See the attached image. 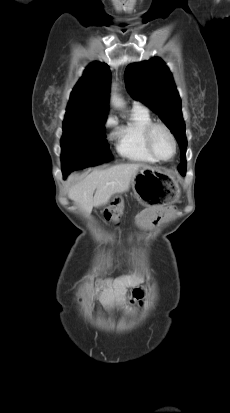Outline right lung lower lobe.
I'll return each instance as SVG.
<instances>
[{
	"mask_svg": "<svg viewBox=\"0 0 230 413\" xmlns=\"http://www.w3.org/2000/svg\"><path fill=\"white\" fill-rule=\"evenodd\" d=\"M63 175H64V177H66L67 174H64V173H63Z\"/></svg>",
	"mask_w": 230,
	"mask_h": 413,
	"instance_id": "1",
	"label": "right lung lower lobe"
}]
</instances>
